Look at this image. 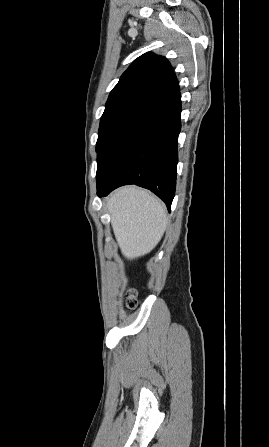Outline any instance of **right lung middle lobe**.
<instances>
[{"label":"right lung middle lobe","instance_id":"right-lung-middle-lobe-1","mask_svg":"<svg viewBox=\"0 0 269 447\" xmlns=\"http://www.w3.org/2000/svg\"><path fill=\"white\" fill-rule=\"evenodd\" d=\"M133 111L135 110L122 109L102 115L99 127L98 140L96 144V151L98 152L97 153L98 155L102 152L105 142L114 132L116 127L127 115H129Z\"/></svg>","mask_w":269,"mask_h":447}]
</instances>
